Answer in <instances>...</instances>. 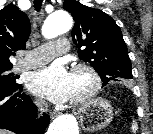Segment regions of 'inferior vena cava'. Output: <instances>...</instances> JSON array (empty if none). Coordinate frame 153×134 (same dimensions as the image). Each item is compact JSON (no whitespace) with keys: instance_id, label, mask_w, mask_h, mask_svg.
Returning <instances> with one entry per match:
<instances>
[{"instance_id":"1","label":"inferior vena cava","mask_w":153,"mask_h":134,"mask_svg":"<svg viewBox=\"0 0 153 134\" xmlns=\"http://www.w3.org/2000/svg\"><path fill=\"white\" fill-rule=\"evenodd\" d=\"M36 103V106L38 107L39 111L41 112L43 109V107L47 108L48 105L45 101H42V100H38L35 102Z\"/></svg>"}]
</instances>
